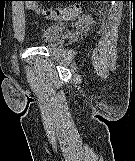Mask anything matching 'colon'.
<instances>
[{"mask_svg": "<svg viewBox=\"0 0 135 161\" xmlns=\"http://www.w3.org/2000/svg\"><path fill=\"white\" fill-rule=\"evenodd\" d=\"M23 1H26V5L30 10L53 20H70L76 17L81 12V7L79 5L54 9H42L34 0Z\"/></svg>", "mask_w": 135, "mask_h": 161, "instance_id": "1", "label": "colon"}]
</instances>
